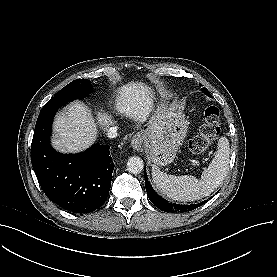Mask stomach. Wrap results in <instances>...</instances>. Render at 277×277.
I'll list each match as a JSON object with an SVG mask.
<instances>
[{"label": "stomach", "mask_w": 277, "mask_h": 277, "mask_svg": "<svg viewBox=\"0 0 277 277\" xmlns=\"http://www.w3.org/2000/svg\"><path fill=\"white\" fill-rule=\"evenodd\" d=\"M188 122L174 104L162 103L141 131L149 159L158 166L174 161L187 134Z\"/></svg>", "instance_id": "obj_1"}]
</instances>
